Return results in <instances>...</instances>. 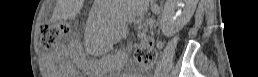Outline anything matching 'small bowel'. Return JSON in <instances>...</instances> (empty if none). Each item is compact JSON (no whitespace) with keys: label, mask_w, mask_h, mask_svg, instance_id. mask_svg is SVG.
<instances>
[{"label":"small bowel","mask_w":258,"mask_h":77,"mask_svg":"<svg viewBox=\"0 0 258 77\" xmlns=\"http://www.w3.org/2000/svg\"><path fill=\"white\" fill-rule=\"evenodd\" d=\"M157 45H158V46H161V42L159 41V42L157 43Z\"/></svg>","instance_id":"c3829d8e"}]
</instances>
